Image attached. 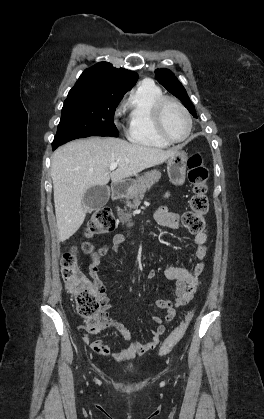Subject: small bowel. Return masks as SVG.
Wrapping results in <instances>:
<instances>
[{"label":"small bowel","instance_id":"c3829d8e","mask_svg":"<svg viewBox=\"0 0 264 419\" xmlns=\"http://www.w3.org/2000/svg\"><path fill=\"white\" fill-rule=\"evenodd\" d=\"M154 219L161 226L173 229H180L182 227L179 216L171 213L168 205H162L157 208L154 213ZM207 238L208 232L203 229L198 232L193 239V245L195 246L194 257L198 263L192 269H187L179 265H172L164 270V276L169 280L175 281L174 298L159 299L156 301L157 307L164 310L165 315L163 317L155 316L152 318V322L157 324V326L152 330L150 340L147 342H131L133 335L132 331L124 324L109 316L108 311L111 308L109 297L106 293V287L98 275L100 257L110 248L114 252H117L125 242V238L122 235H115L111 245H104L99 249L97 257L92 260L87 269L88 275L91 278L98 295L104 302V308L99 328L93 332L86 333L83 336L84 342L88 344L95 353L101 356L110 357L118 362L132 360L136 355H143L150 350L155 349L159 345L160 337L165 332V324L174 319L176 308L188 304L192 300L196 289L201 284V275L206 267L205 258L208 250ZM155 277L156 272L150 271L148 278L154 279ZM105 329L116 330L122 339L127 342V345L118 351H112L109 345L104 341L99 339L92 340V335Z\"/></svg>","mask_w":264,"mask_h":419}]
</instances>
